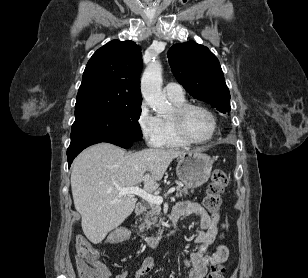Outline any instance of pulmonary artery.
I'll return each instance as SVG.
<instances>
[{"mask_svg":"<svg viewBox=\"0 0 308 278\" xmlns=\"http://www.w3.org/2000/svg\"><path fill=\"white\" fill-rule=\"evenodd\" d=\"M164 92L168 98L171 99H182L184 98V91L179 84L176 83H168L164 87Z\"/></svg>","mask_w":308,"mask_h":278,"instance_id":"pulmonary-artery-1","label":"pulmonary artery"}]
</instances>
